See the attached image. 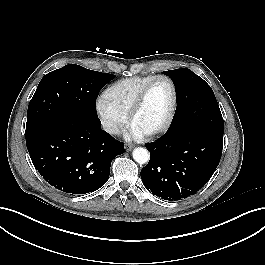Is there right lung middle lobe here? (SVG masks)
<instances>
[{
  "mask_svg": "<svg viewBox=\"0 0 265 265\" xmlns=\"http://www.w3.org/2000/svg\"><path fill=\"white\" fill-rule=\"evenodd\" d=\"M115 75L68 64L46 74L31 99L26 133L55 122L64 115L97 118L95 107L100 90Z\"/></svg>",
  "mask_w": 265,
  "mask_h": 265,
  "instance_id": "1",
  "label": "right lung middle lobe"
}]
</instances>
